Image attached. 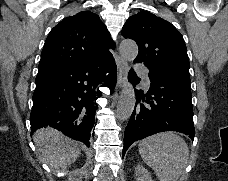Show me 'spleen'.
I'll return each mask as SVG.
<instances>
[{"mask_svg": "<svg viewBox=\"0 0 228 181\" xmlns=\"http://www.w3.org/2000/svg\"><path fill=\"white\" fill-rule=\"evenodd\" d=\"M139 153L158 181H178L189 157L188 145L175 133H159L139 141Z\"/></svg>", "mask_w": 228, "mask_h": 181, "instance_id": "obj_1", "label": "spleen"}]
</instances>
